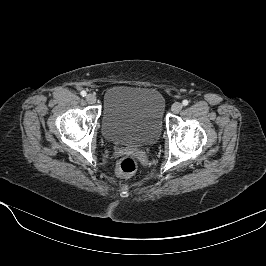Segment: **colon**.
<instances>
[{
    "mask_svg": "<svg viewBox=\"0 0 266 266\" xmlns=\"http://www.w3.org/2000/svg\"><path fill=\"white\" fill-rule=\"evenodd\" d=\"M138 168V160L134 155L123 156L116 165V174L119 177H129L133 175Z\"/></svg>",
    "mask_w": 266,
    "mask_h": 266,
    "instance_id": "5ec220e1",
    "label": "colon"
}]
</instances>
